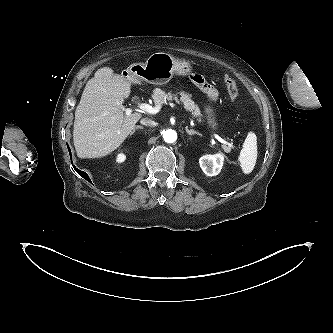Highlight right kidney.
Listing matches in <instances>:
<instances>
[{
    "mask_svg": "<svg viewBox=\"0 0 333 333\" xmlns=\"http://www.w3.org/2000/svg\"><path fill=\"white\" fill-rule=\"evenodd\" d=\"M126 159V156L123 154V153H119L117 156H116V162L118 163H122L124 162Z\"/></svg>",
    "mask_w": 333,
    "mask_h": 333,
    "instance_id": "obj_1",
    "label": "right kidney"
}]
</instances>
